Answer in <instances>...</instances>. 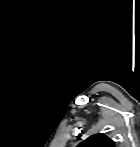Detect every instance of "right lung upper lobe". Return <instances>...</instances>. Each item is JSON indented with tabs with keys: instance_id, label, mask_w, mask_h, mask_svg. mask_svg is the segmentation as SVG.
<instances>
[{
	"instance_id": "obj_1",
	"label": "right lung upper lobe",
	"mask_w": 140,
	"mask_h": 147,
	"mask_svg": "<svg viewBox=\"0 0 140 147\" xmlns=\"http://www.w3.org/2000/svg\"><path fill=\"white\" fill-rule=\"evenodd\" d=\"M80 146L82 147H114V142L106 137L104 134H96L90 136L83 141Z\"/></svg>"
}]
</instances>
